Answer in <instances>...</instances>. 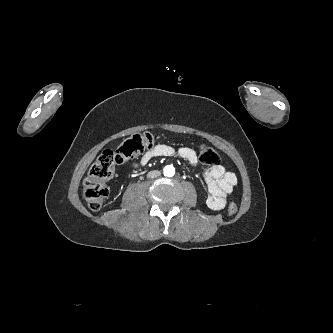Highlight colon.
<instances>
[{
  "label": "colon",
  "instance_id": "colon-1",
  "mask_svg": "<svg viewBox=\"0 0 333 333\" xmlns=\"http://www.w3.org/2000/svg\"><path fill=\"white\" fill-rule=\"evenodd\" d=\"M155 141L151 133H137L127 137L115 150L103 151L90 168L83 183L84 198L90 209L98 211L102 208L108 195L106 182L112 177L115 167L150 150ZM198 155L200 162L205 165L215 166L220 163L219 154L206 145L199 147ZM237 211V203H230L228 213L234 215Z\"/></svg>",
  "mask_w": 333,
  "mask_h": 333
}]
</instances>
